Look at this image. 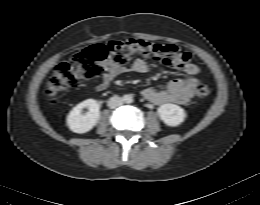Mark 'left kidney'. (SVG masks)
<instances>
[{
  "instance_id": "left-kidney-1",
  "label": "left kidney",
  "mask_w": 260,
  "mask_h": 205,
  "mask_svg": "<svg viewBox=\"0 0 260 205\" xmlns=\"http://www.w3.org/2000/svg\"><path fill=\"white\" fill-rule=\"evenodd\" d=\"M160 119L168 126L176 127L184 122L186 113L183 108L175 104H163L158 108Z\"/></svg>"
}]
</instances>
